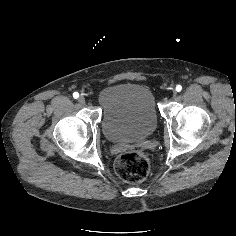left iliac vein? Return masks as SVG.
Masks as SVG:
<instances>
[{
  "label": "left iliac vein",
  "mask_w": 236,
  "mask_h": 236,
  "mask_svg": "<svg viewBox=\"0 0 236 236\" xmlns=\"http://www.w3.org/2000/svg\"><path fill=\"white\" fill-rule=\"evenodd\" d=\"M171 99H176L178 97V94L175 92V90L173 91V93L171 94Z\"/></svg>",
  "instance_id": "1"
}]
</instances>
